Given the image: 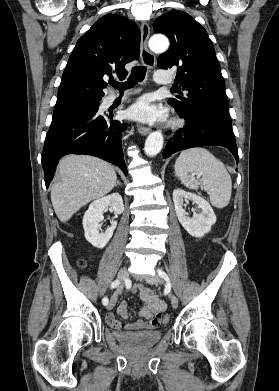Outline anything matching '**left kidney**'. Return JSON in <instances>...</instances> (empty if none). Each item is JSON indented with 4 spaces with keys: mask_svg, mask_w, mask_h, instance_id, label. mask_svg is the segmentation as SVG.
I'll use <instances>...</instances> for the list:
<instances>
[{
    "mask_svg": "<svg viewBox=\"0 0 279 391\" xmlns=\"http://www.w3.org/2000/svg\"><path fill=\"white\" fill-rule=\"evenodd\" d=\"M185 201H193L201 212L194 213L192 217L186 215L184 209ZM173 202L179 222L193 237H203L211 230V226L216 223V215L210 204L196 194L179 188L175 189L173 191Z\"/></svg>",
    "mask_w": 279,
    "mask_h": 391,
    "instance_id": "5707ae66",
    "label": "left kidney"
}]
</instances>
